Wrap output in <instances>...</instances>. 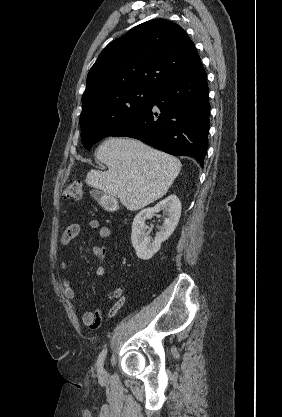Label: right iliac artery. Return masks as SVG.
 <instances>
[{
  "label": "right iliac artery",
  "mask_w": 282,
  "mask_h": 417,
  "mask_svg": "<svg viewBox=\"0 0 282 417\" xmlns=\"http://www.w3.org/2000/svg\"><path fill=\"white\" fill-rule=\"evenodd\" d=\"M107 354V348H105L99 355L98 360H97V371L98 373H102L103 372V363L105 360Z\"/></svg>",
  "instance_id": "1"
}]
</instances>
